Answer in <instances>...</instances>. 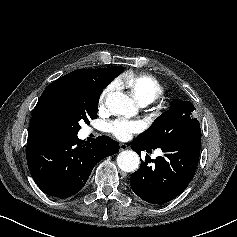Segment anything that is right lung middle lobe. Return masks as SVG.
<instances>
[{
    "instance_id": "right-lung-middle-lobe-1",
    "label": "right lung middle lobe",
    "mask_w": 237,
    "mask_h": 237,
    "mask_svg": "<svg viewBox=\"0 0 237 237\" xmlns=\"http://www.w3.org/2000/svg\"><path fill=\"white\" fill-rule=\"evenodd\" d=\"M123 71L122 66L92 69L95 90L81 94L59 90L52 107L54 133L76 135L80 130V121L89 123L97 117L100 94L115 77Z\"/></svg>"
}]
</instances>
